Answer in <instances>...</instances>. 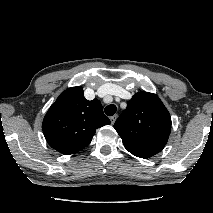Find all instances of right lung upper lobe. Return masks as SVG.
<instances>
[{
    "label": "right lung upper lobe",
    "instance_id": "1",
    "mask_svg": "<svg viewBox=\"0 0 213 213\" xmlns=\"http://www.w3.org/2000/svg\"><path fill=\"white\" fill-rule=\"evenodd\" d=\"M110 124L98 99L88 101L81 86L65 90L47 111L42 130L48 144L64 155L88 146L96 129Z\"/></svg>",
    "mask_w": 213,
    "mask_h": 213
}]
</instances>
